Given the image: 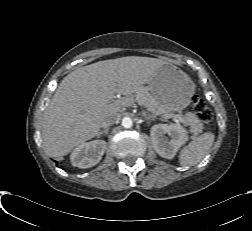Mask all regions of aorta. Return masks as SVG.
<instances>
[{"label": "aorta", "mask_w": 252, "mask_h": 231, "mask_svg": "<svg viewBox=\"0 0 252 231\" xmlns=\"http://www.w3.org/2000/svg\"><path fill=\"white\" fill-rule=\"evenodd\" d=\"M132 125H133V121H132V119L130 117H124L122 119V126L124 128H131Z\"/></svg>", "instance_id": "762f6f07"}]
</instances>
